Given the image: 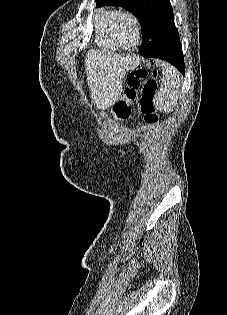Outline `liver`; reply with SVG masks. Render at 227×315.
Wrapping results in <instances>:
<instances>
[{"instance_id": "6515ba94", "label": "liver", "mask_w": 227, "mask_h": 315, "mask_svg": "<svg viewBox=\"0 0 227 315\" xmlns=\"http://www.w3.org/2000/svg\"><path fill=\"white\" fill-rule=\"evenodd\" d=\"M87 84L99 109H107L121 96L123 78L137 66L135 58L103 51H89L85 58Z\"/></svg>"}]
</instances>
